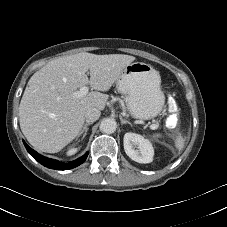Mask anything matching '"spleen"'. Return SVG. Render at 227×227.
Returning <instances> with one entry per match:
<instances>
[{
  "label": "spleen",
  "instance_id": "1",
  "mask_svg": "<svg viewBox=\"0 0 227 227\" xmlns=\"http://www.w3.org/2000/svg\"><path fill=\"white\" fill-rule=\"evenodd\" d=\"M155 139H158L160 137V134H154L152 136ZM184 144H185V138L182 137L181 135H178L175 139V147L181 151L184 148Z\"/></svg>",
  "mask_w": 227,
  "mask_h": 227
}]
</instances>
